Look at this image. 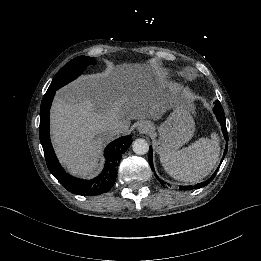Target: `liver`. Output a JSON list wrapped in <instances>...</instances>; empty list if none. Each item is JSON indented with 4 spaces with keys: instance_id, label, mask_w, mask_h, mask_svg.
Returning a JSON list of instances; mask_svg holds the SVG:
<instances>
[{
    "instance_id": "liver-1",
    "label": "liver",
    "mask_w": 261,
    "mask_h": 261,
    "mask_svg": "<svg viewBox=\"0 0 261 261\" xmlns=\"http://www.w3.org/2000/svg\"><path fill=\"white\" fill-rule=\"evenodd\" d=\"M168 83L140 65H123L82 75L56 92L50 110L51 139L60 163L74 175L91 179L102 169L103 147L113 140L115 120H158L171 108Z\"/></svg>"
}]
</instances>
